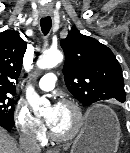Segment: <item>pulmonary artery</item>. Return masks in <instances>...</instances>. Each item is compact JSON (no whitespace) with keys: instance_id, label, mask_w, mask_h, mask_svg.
I'll return each mask as SVG.
<instances>
[{"instance_id":"e3ab8cb5","label":"pulmonary artery","mask_w":130,"mask_h":153,"mask_svg":"<svg viewBox=\"0 0 130 153\" xmlns=\"http://www.w3.org/2000/svg\"><path fill=\"white\" fill-rule=\"evenodd\" d=\"M56 76L53 73L45 74L39 81L38 86L43 91H50L54 88Z\"/></svg>"}]
</instances>
